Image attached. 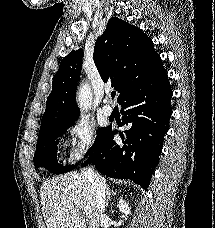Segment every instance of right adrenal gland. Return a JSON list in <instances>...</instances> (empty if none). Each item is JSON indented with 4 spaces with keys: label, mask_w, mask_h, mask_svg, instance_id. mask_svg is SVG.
<instances>
[{
    "label": "right adrenal gland",
    "mask_w": 215,
    "mask_h": 228,
    "mask_svg": "<svg viewBox=\"0 0 215 228\" xmlns=\"http://www.w3.org/2000/svg\"><path fill=\"white\" fill-rule=\"evenodd\" d=\"M112 196H117V192L116 190H113V188H109L108 194H107L106 206H109V200H111Z\"/></svg>",
    "instance_id": "obj_1"
}]
</instances>
